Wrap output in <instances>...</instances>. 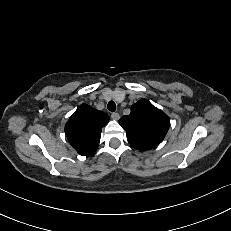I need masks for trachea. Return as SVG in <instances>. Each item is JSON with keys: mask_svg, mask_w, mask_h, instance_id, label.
Listing matches in <instances>:
<instances>
[{"mask_svg": "<svg viewBox=\"0 0 231 231\" xmlns=\"http://www.w3.org/2000/svg\"><path fill=\"white\" fill-rule=\"evenodd\" d=\"M107 108L109 111L114 112L116 110V104L114 101H109Z\"/></svg>", "mask_w": 231, "mask_h": 231, "instance_id": "trachea-1", "label": "trachea"}]
</instances>
